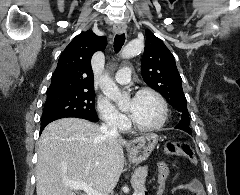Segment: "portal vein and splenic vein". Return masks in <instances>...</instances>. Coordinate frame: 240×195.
Listing matches in <instances>:
<instances>
[{
    "label": "portal vein and splenic vein",
    "instance_id": "obj_1",
    "mask_svg": "<svg viewBox=\"0 0 240 195\" xmlns=\"http://www.w3.org/2000/svg\"><path fill=\"white\" fill-rule=\"evenodd\" d=\"M65 185H69L71 189H83L87 195H105V193H99L93 189L92 185L85 183V181H65ZM133 195H140V193H133Z\"/></svg>",
    "mask_w": 240,
    "mask_h": 195
}]
</instances>
